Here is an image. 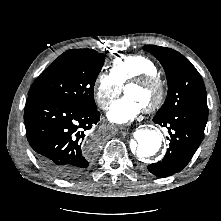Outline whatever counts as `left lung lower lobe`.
<instances>
[{
  "instance_id": "left-lung-lower-lobe-1",
  "label": "left lung lower lobe",
  "mask_w": 221,
  "mask_h": 221,
  "mask_svg": "<svg viewBox=\"0 0 221 221\" xmlns=\"http://www.w3.org/2000/svg\"><path fill=\"white\" fill-rule=\"evenodd\" d=\"M208 112L187 108L165 116H155L153 121L167 127L170 144L164 158L147 166L158 177L171 176L182 170L201 144Z\"/></svg>"
}]
</instances>
